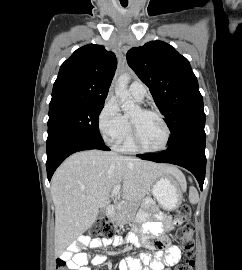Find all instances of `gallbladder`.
Wrapping results in <instances>:
<instances>
[{
	"label": "gallbladder",
	"mask_w": 242,
	"mask_h": 270,
	"mask_svg": "<svg viewBox=\"0 0 242 270\" xmlns=\"http://www.w3.org/2000/svg\"><path fill=\"white\" fill-rule=\"evenodd\" d=\"M105 214H106L105 209L104 208L100 209L97 214V220L103 219L105 217Z\"/></svg>",
	"instance_id": "gallbladder-1"
}]
</instances>
